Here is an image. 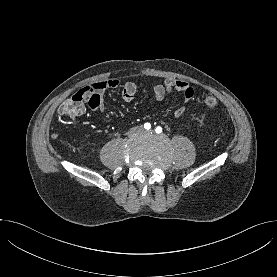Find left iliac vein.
<instances>
[{"label":"left iliac vein","mask_w":277,"mask_h":277,"mask_svg":"<svg viewBox=\"0 0 277 277\" xmlns=\"http://www.w3.org/2000/svg\"><path fill=\"white\" fill-rule=\"evenodd\" d=\"M143 135L145 136H152L153 135V131L150 130V131H143Z\"/></svg>","instance_id":"left-iliac-vein-1"}]
</instances>
